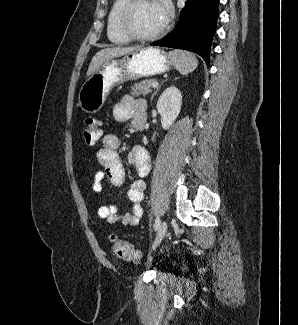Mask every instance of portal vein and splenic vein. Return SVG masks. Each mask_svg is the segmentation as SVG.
Returning <instances> with one entry per match:
<instances>
[{
	"mask_svg": "<svg viewBox=\"0 0 298 325\" xmlns=\"http://www.w3.org/2000/svg\"><path fill=\"white\" fill-rule=\"evenodd\" d=\"M150 86H152V88H155V86H158V82H152V84H150Z\"/></svg>",
	"mask_w": 298,
	"mask_h": 325,
	"instance_id": "18ae733b",
	"label": "portal vein and splenic vein"
}]
</instances>
